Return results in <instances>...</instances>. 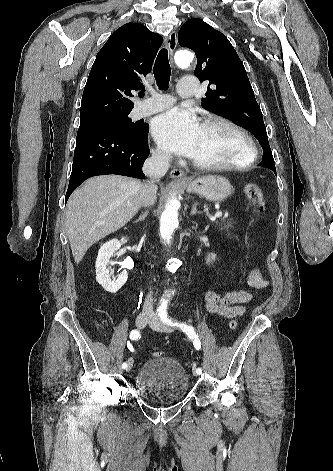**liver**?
I'll use <instances>...</instances> for the list:
<instances>
[{
  "label": "liver",
  "instance_id": "obj_1",
  "mask_svg": "<svg viewBox=\"0 0 333 471\" xmlns=\"http://www.w3.org/2000/svg\"><path fill=\"white\" fill-rule=\"evenodd\" d=\"M142 183L120 175L90 178L67 202L65 229L77 264L97 241L125 226L141 206Z\"/></svg>",
  "mask_w": 333,
  "mask_h": 471
}]
</instances>
